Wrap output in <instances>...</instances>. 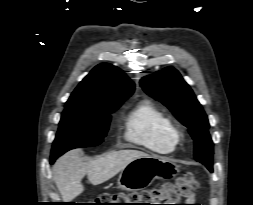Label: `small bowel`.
Here are the masks:
<instances>
[{
    "instance_id": "c3829d8e",
    "label": "small bowel",
    "mask_w": 253,
    "mask_h": 205,
    "mask_svg": "<svg viewBox=\"0 0 253 205\" xmlns=\"http://www.w3.org/2000/svg\"><path fill=\"white\" fill-rule=\"evenodd\" d=\"M194 201V197L189 198V202H193Z\"/></svg>"
}]
</instances>
